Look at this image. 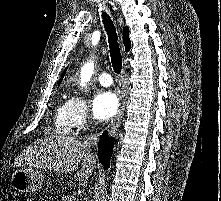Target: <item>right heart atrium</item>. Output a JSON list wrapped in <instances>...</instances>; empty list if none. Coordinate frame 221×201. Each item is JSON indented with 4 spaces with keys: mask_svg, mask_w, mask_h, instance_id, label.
<instances>
[{
    "mask_svg": "<svg viewBox=\"0 0 221 201\" xmlns=\"http://www.w3.org/2000/svg\"><path fill=\"white\" fill-rule=\"evenodd\" d=\"M69 114L72 129H81L89 125L90 116L85 98L74 94L69 100Z\"/></svg>",
    "mask_w": 221,
    "mask_h": 201,
    "instance_id": "right-heart-atrium-1",
    "label": "right heart atrium"
}]
</instances>
